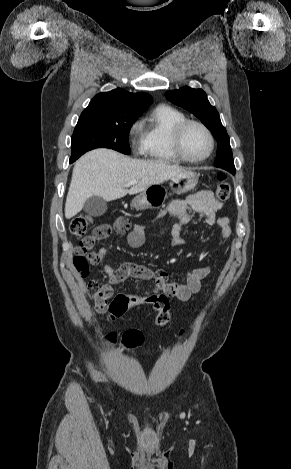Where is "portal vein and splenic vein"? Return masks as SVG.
Listing matches in <instances>:
<instances>
[{
  "mask_svg": "<svg viewBox=\"0 0 291 469\" xmlns=\"http://www.w3.org/2000/svg\"><path fill=\"white\" fill-rule=\"evenodd\" d=\"M134 183H135V181H131V182H128L125 186H126V187H129V186H131V185L134 184Z\"/></svg>",
  "mask_w": 291,
  "mask_h": 469,
  "instance_id": "obj_1",
  "label": "portal vein and splenic vein"
}]
</instances>
